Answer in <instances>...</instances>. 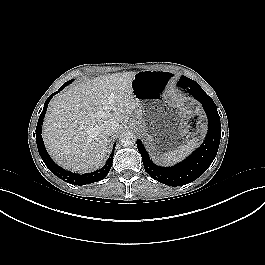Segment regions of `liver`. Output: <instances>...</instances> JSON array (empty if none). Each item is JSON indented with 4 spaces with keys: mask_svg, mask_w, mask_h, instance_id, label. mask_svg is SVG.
<instances>
[{
    "mask_svg": "<svg viewBox=\"0 0 265 265\" xmlns=\"http://www.w3.org/2000/svg\"><path fill=\"white\" fill-rule=\"evenodd\" d=\"M135 74L115 73L88 80L51 100L42 133L49 154L60 166L83 173L103 165L108 153V136L101 131L104 121L115 122V134L130 117L141 115L132 89Z\"/></svg>",
    "mask_w": 265,
    "mask_h": 265,
    "instance_id": "6515ba94",
    "label": "liver"
}]
</instances>
